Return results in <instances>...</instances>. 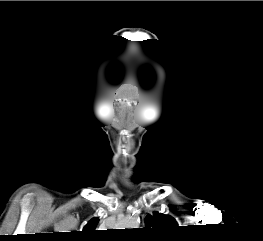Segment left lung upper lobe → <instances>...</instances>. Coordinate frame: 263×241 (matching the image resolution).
<instances>
[{
    "label": "left lung upper lobe",
    "mask_w": 263,
    "mask_h": 241,
    "mask_svg": "<svg viewBox=\"0 0 263 241\" xmlns=\"http://www.w3.org/2000/svg\"><path fill=\"white\" fill-rule=\"evenodd\" d=\"M145 226L149 231H170L178 228L176 220L159 212H154L153 215L148 214L145 218Z\"/></svg>",
    "instance_id": "1"
}]
</instances>
